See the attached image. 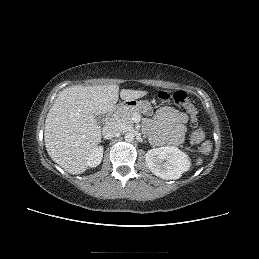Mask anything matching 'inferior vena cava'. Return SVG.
Masks as SVG:
<instances>
[{
	"mask_svg": "<svg viewBox=\"0 0 259 259\" xmlns=\"http://www.w3.org/2000/svg\"><path fill=\"white\" fill-rule=\"evenodd\" d=\"M122 132L121 126L117 123H109L103 128V136L105 139H111Z\"/></svg>",
	"mask_w": 259,
	"mask_h": 259,
	"instance_id": "obj_1",
	"label": "inferior vena cava"
}]
</instances>
